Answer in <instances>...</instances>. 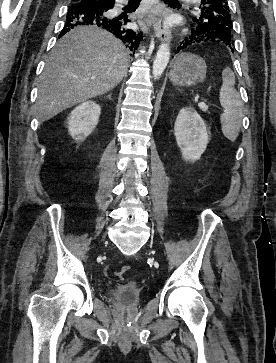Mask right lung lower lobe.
I'll return each instance as SVG.
<instances>
[{"instance_id":"98d812e1","label":"right lung lower lobe","mask_w":276,"mask_h":363,"mask_svg":"<svg viewBox=\"0 0 276 363\" xmlns=\"http://www.w3.org/2000/svg\"><path fill=\"white\" fill-rule=\"evenodd\" d=\"M114 7V3H103L99 0H77L67 12L66 23L60 33L61 37L71 28L79 25H96L122 40L125 46L134 52L142 40V33L124 27L120 18H110L107 11Z\"/></svg>"}]
</instances>
